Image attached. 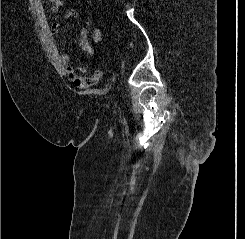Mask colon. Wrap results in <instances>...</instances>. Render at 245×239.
<instances>
[{
  "mask_svg": "<svg viewBox=\"0 0 245 239\" xmlns=\"http://www.w3.org/2000/svg\"><path fill=\"white\" fill-rule=\"evenodd\" d=\"M50 3L54 2L53 0H48Z\"/></svg>",
  "mask_w": 245,
  "mask_h": 239,
  "instance_id": "1",
  "label": "colon"
}]
</instances>
